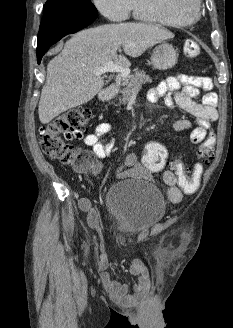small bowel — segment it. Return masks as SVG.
<instances>
[{"label":"small bowel","instance_id":"c3829d8e","mask_svg":"<svg viewBox=\"0 0 233 328\" xmlns=\"http://www.w3.org/2000/svg\"><path fill=\"white\" fill-rule=\"evenodd\" d=\"M212 87V80L209 77L181 74L159 82L148 91L147 97L151 102L163 98L167 107L177 106L193 115L196 118V126H193L188 120L180 119L173 124V129L175 131H190V142L200 144L206 139L211 123L218 119L216 110L217 95L212 92ZM201 90L205 91L206 94L202 103H197L194 98L200 94ZM110 129L109 123H99L94 132L84 138L85 145L91 147L99 158L108 157L112 151V139L103 138ZM117 176L119 178L142 179L148 178L149 172L141 164L135 153H129L119 166ZM163 181L168 187L167 195L169 200L172 203H179L183 198V192L178 185L174 172L171 170L165 171ZM78 205L82 211L87 213L89 223L97 227L99 218L91 201L82 197L78 200ZM129 271L137 278L133 293H129L127 284L113 279L108 271L103 270L100 273L101 283L111 299L123 305H131L142 300L148 294L151 286L148 269L142 260H133Z\"/></svg>","mask_w":233,"mask_h":328}]
</instances>
